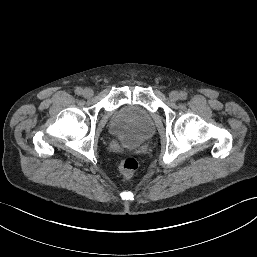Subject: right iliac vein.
I'll list each match as a JSON object with an SVG mask.
<instances>
[{"instance_id":"right-iliac-vein-1","label":"right iliac vein","mask_w":257,"mask_h":257,"mask_svg":"<svg viewBox=\"0 0 257 257\" xmlns=\"http://www.w3.org/2000/svg\"><path fill=\"white\" fill-rule=\"evenodd\" d=\"M83 96H84L85 98H90V97H92V96H93V90H92L91 88H85V89L83 90Z\"/></svg>"}]
</instances>
